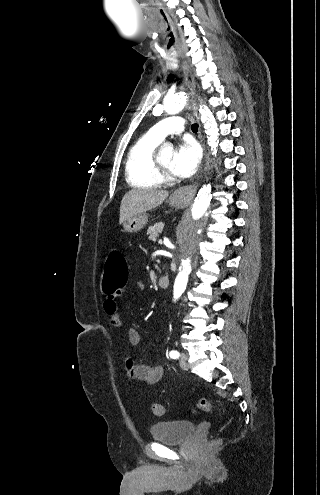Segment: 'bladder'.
<instances>
[{"label":"bladder","mask_w":320,"mask_h":495,"mask_svg":"<svg viewBox=\"0 0 320 495\" xmlns=\"http://www.w3.org/2000/svg\"><path fill=\"white\" fill-rule=\"evenodd\" d=\"M196 431V424L189 420L162 421L150 427L151 437L166 444H180L187 441Z\"/></svg>","instance_id":"bladder-1"}]
</instances>
